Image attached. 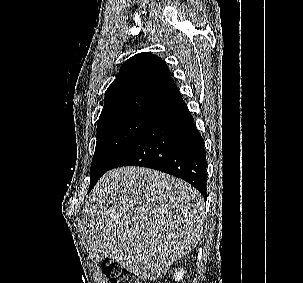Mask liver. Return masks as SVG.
I'll list each match as a JSON object with an SVG mask.
<instances>
[{"label":"liver","mask_w":303,"mask_h":283,"mask_svg":"<svg viewBox=\"0 0 303 283\" xmlns=\"http://www.w3.org/2000/svg\"><path fill=\"white\" fill-rule=\"evenodd\" d=\"M205 203L186 182L143 168L106 172L82 211L87 249L144 280H157L202 237Z\"/></svg>","instance_id":"liver-1"}]
</instances>
